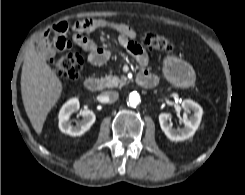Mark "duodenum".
<instances>
[{
  "label": "duodenum",
  "mask_w": 245,
  "mask_h": 195,
  "mask_svg": "<svg viewBox=\"0 0 245 195\" xmlns=\"http://www.w3.org/2000/svg\"><path fill=\"white\" fill-rule=\"evenodd\" d=\"M137 84L146 89L154 88L157 85V78L147 72H140L136 78ZM85 87L92 92L100 91L103 88V82L97 77H88L85 79Z\"/></svg>",
  "instance_id": "obj_1"
}]
</instances>
